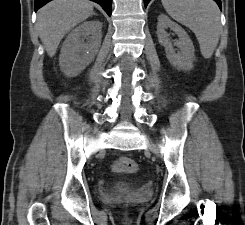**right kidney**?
Masks as SVG:
<instances>
[{
    "label": "right kidney",
    "instance_id": "right-kidney-1",
    "mask_svg": "<svg viewBox=\"0 0 245 225\" xmlns=\"http://www.w3.org/2000/svg\"><path fill=\"white\" fill-rule=\"evenodd\" d=\"M101 27L99 21H87L67 36L59 57L61 71L67 77L77 76L94 59L101 45Z\"/></svg>",
    "mask_w": 245,
    "mask_h": 225
}]
</instances>
